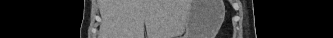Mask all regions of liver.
Returning <instances> with one entry per match:
<instances>
[{"label":"liver","instance_id":"1","mask_svg":"<svg viewBox=\"0 0 333 38\" xmlns=\"http://www.w3.org/2000/svg\"><path fill=\"white\" fill-rule=\"evenodd\" d=\"M141 5V10L145 11H156L161 6V1L159 0H143Z\"/></svg>","mask_w":333,"mask_h":38}]
</instances>
